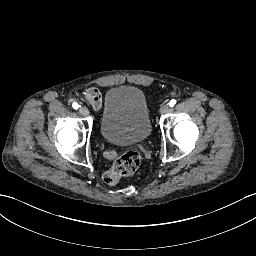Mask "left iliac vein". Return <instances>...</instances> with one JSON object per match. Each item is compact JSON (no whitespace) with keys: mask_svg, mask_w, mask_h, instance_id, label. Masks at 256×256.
I'll return each instance as SVG.
<instances>
[{"mask_svg":"<svg viewBox=\"0 0 256 256\" xmlns=\"http://www.w3.org/2000/svg\"><path fill=\"white\" fill-rule=\"evenodd\" d=\"M168 111H169V105L168 104H162L160 109H159V113L164 114Z\"/></svg>","mask_w":256,"mask_h":256,"instance_id":"left-iliac-vein-1","label":"left iliac vein"}]
</instances>
